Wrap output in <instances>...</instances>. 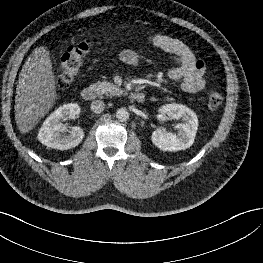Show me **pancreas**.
Returning <instances> with one entry per match:
<instances>
[{
  "label": "pancreas",
  "mask_w": 263,
  "mask_h": 263,
  "mask_svg": "<svg viewBox=\"0 0 263 263\" xmlns=\"http://www.w3.org/2000/svg\"><path fill=\"white\" fill-rule=\"evenodd\" d=\"M91 87L95 89L97 95L99 96H116L122 94V91L117 86L106 81H98L97 83L91 85Z\"/></svg>",
  "instance_id": "obj_1"
}]
</instances>
